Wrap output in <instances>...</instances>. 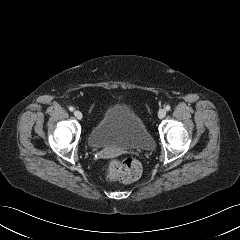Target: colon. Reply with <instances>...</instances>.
<instances>
[{
    "instance_id": "1",
    "label": "colon",
    "mask_w": 240,
    "mask_h": 240,
    "mask_svg": "<svg viewBox=\"0 0 240 240\" xmlns=\"http://www.w3.org/2000/svg\"><path fill=\"white\" fill-rule=\"evenodd\" d=\"M106 177L110 181L132 183L139 179L142 173L140 163L133 158L112 160L105 169Z\"/></svg>"
}]
</instances>
